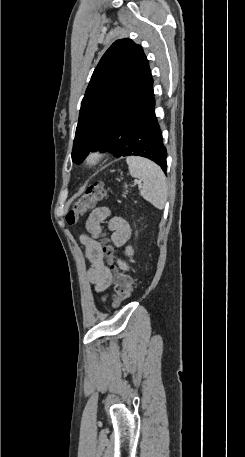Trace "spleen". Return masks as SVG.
Listing matches in <instances>:
<instances>
[{
  "label": "spleen",
  "instance_id": "3e777b00",
  "mask_svg": "<svg viewBox=\"0 0 245 457\" xmlns=\"http://www.w3.org/2000/svg\"><path fill=\"white\" fill-rule=\"evenodd\" d=\"M126 162L131 176L143 180L140 188L141 196L156 208H164L168 196V184L162 168L144 156H127Z\"/></svg>",
  "mask_w": 245,
  "mask_h": 457
}]
</instances>
